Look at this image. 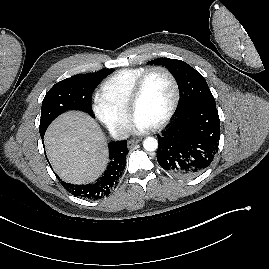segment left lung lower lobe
I'll return each instance as SVG.
<instances>
[{
  "mask_svg": "<svg viewBox=\"0 0 269 269\" xmlns=\"http://www.w3.org/2000/svg\"><path fill=\"white\" fill-rule=\"evenodd\" d=\"M219 139L220 120L216 106L191 107L158 136V163L175 177L193 178L212 163Z\"/></svg>",
  "mask_w": 269,
  "mask_h": 269,
  "instance_id": "left-lung-lower-lobe-1",
  "label": "left lung lower lobe"
}]
</instances>
